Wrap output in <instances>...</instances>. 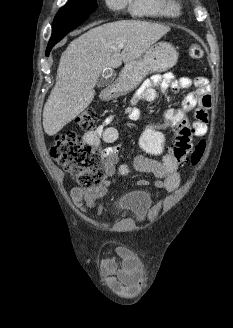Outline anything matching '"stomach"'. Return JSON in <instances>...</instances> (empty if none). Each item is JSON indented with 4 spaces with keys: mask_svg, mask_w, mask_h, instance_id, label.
I'll use <instances>...</instances> for the list:
<instances>
[{
    "mask_svg": "<svg viewBox=\"0 0 233 328\" xmlns=\"http://www.w3.org/2000/svg\"><path fill=\"white\" fill-rule=\"evenodd\" d=\"M178 60V52L168 42L151 46L141 58L125 64L121 71L115 91L110 97L116 98L135 89L152 72L171 69Z\"/></svg>",
    "mask_w": 233,
    "mask_h": 328,
    "instance_id": "stomach-1",
    "label": "stomach"
}]
</instances>
